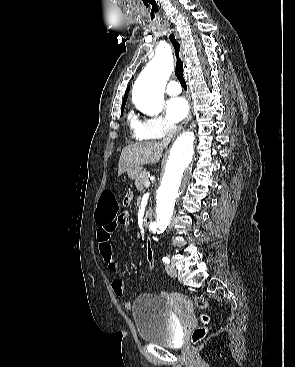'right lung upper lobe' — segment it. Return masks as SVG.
Masks as SVG:
<instances>
[{
    "instance_id": "1",
    "label": "right lung upper lobe",
    "mask_w": 295,
    "mask_h": 367,
    "mask_svg": "<svg viewBox=\"0 0 295 367\" xmlns=\"http://www.w3.org/2000/svg\"><path fill=\"white\" fill-rule=\"evenodd\" d=\"M128 92H129V87H128V88L126 89V91H125V95H124V98H123L122 105L126 104L127 96H128Z\"/></svg>"
}]
</instances>
